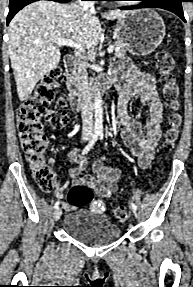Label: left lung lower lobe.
I'll return each instance as SVG.
<instances>
[{
	"instance_id": "left-lung-lower-lobe-1",
	"label": "left lung lower lobe",
	"mask_w": 193,
	"mask_h": 287,
	"mask_svg": "<svg viewBox=\"0 0 193 287\" xmlns=\"http://www.w3.org/2000/svg\"><path fill=\"white\" fill-rule=\"evenodd\" d=\"M139 1H141V3L138 5L121 9L128 10L138 8H162L175 13L184 22H186L181 3L186 2L187 0H139Z\"/></svg>"
}]
</instances>
